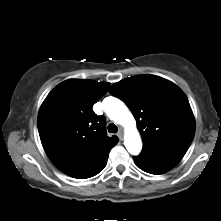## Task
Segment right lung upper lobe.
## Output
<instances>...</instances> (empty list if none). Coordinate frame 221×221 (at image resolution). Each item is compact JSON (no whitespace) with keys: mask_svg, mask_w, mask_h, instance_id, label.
I'll return each mask as SVG.
<instances>
[{"mask_svg":"<svg viewBox=\"0 0 221 221\" xmlns=\"http://www.w3.org/2000/svg\"><path fill=\"white\" fill-rule=\"evenodd\" d=\"M109 83L69 79L46 97L38 114V131L52 163L65 174L93 166L109 155L118 138L106 135L103 116L93 105L108 91Z\"/></svg>","mask_w":221,"mask_h":221,"instance_id":"obj_1","label":"right lung upper lobe"}]
</instances>
